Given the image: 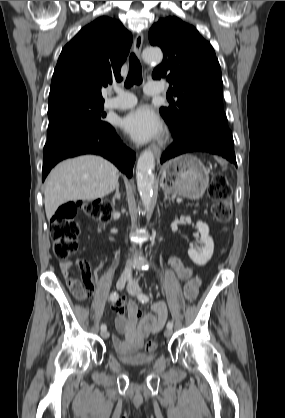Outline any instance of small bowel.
Here are the masks:
<instances>
[{
    "label": "small bowel",
    "instance_id": "c3829d8e",
    "mask_svg": "<svg viewBox=\"0 0 285 418\" xmlns=\"http://www.w3.org/2000/svg\"><path fill=\"white\" fill-rule=\"evenodd\" d=\"M170 267L177 276L184 281L183 293L187 299L197 297L201 286V278L194 272L193 268L185 265L179 258L172 257L169 260ZM69 267L77 266L80 269V278L74 277L70 272L64 273V279L73 292V287L77 282L84 283L90 291L94 292V280L91 266L88 262L75 259ZM153 312L142 314L134 302L127 303L128 316H124V305L122 300L113 303L112 310L116 313V324L120 332L126 335V342L119 337L113 336V345L117 350L128 352L138 350L142 346L143 340L150 334L160 331L168 317L166 304L162 300L156 301L152 306Z\"/></svg>",
    "mask_w": 285,
    "mask_h": 418
}]
</instances>
